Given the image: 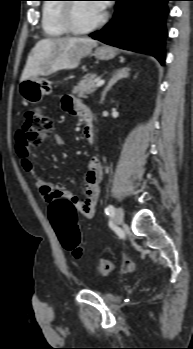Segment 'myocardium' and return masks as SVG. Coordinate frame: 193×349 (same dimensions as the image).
<instances>
[{
	"mask_svg": "<svg viewBox=\"0 0 193 349\" xmlns=\"http://www.w3.org/2000/svg\"><path fill=\"white\" fill-rule=\"evenodd\" d=\"M68 1H76V0H68ZM77 2H68L63 4L61 11V22L65 30L73 35H83L90 33L98 28H100L107 20V14L103 13L101 17L94 22L92 25L80 28L75 23L74 18V8Z\"/></svg>",
	"mask_w": 193,
	"mask_h": 349,
	"instance_id": "f54148a6",
	"label": "myocardium"
}]
</instances>
